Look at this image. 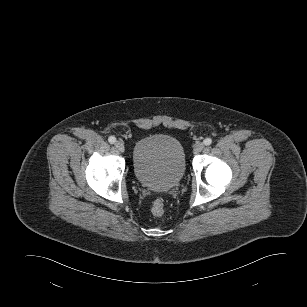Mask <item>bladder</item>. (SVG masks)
<instances>
[{
    "mask_svg": "<svg viewBox=\"0 0 307 307\" xmlns=\"http://www.w3.org/2000/svg\"><path fill=\"white\" fill-rule=\"evenodd\" d=\"M132 167L141 185L156 191L170 190L180 183L185 174L183 145L169 135L145 137L133 149Z\"/></svg>",
    "mask_w": 307,
    "mask_h": 307,
    "instance_id": "bladder-1",
    "label": "bladder"
}]
</instances>
